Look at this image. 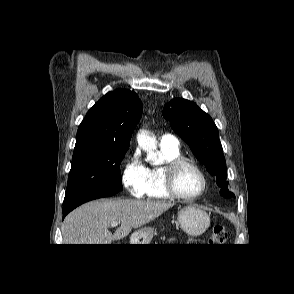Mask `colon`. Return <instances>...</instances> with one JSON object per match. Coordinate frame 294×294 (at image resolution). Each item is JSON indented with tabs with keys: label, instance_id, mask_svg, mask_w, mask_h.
<instances>
[{
	"label": "colon",
	"instance_id": "colon-1",
	"mask_svg": "<svg viewBox=\"0 0 294 294\" xmlns=\"http://www.w3.org/2000/svg\"><path fill=\"white\" fill-rule=\"evenodd\" d=\"M228 238V231L225 226L217 225L213 227L211 236H210V243L216 246H222L226 243Z\"/></svg>",
	"mask_w": 294,
	"mask_h": 294
}]
</instances>
